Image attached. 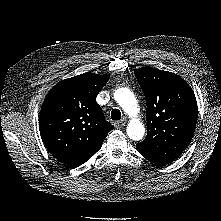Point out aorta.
I'll list each match as a JSON object with an SVG mask.
<instances>
[{"instance_id": "762f6f07", "label": "aorta", "mask_w": 221, "mask_h": 221, "mask_svg": "<svg viewBox=\"0 0 221 221\" xmlns=\"http://www.w3.org/2000/svg\"><path fill=\"white\" fill-rule=\"evenodd\" d=\"M114 98L125 113L131 117L126 130L128 137L134 141L141 140L145 134V127L137 118L139 108L133 92L128 88H120L116 90Z\"/></svg>"}]
</instances>
